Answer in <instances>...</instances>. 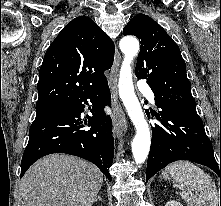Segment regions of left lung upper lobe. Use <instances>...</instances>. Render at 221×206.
I'll return each mask as SVG.
<instances>
[{
    "instance_id": "obj_1",
    "label": "left lung upper lobe",
    "mask_w": 221,
    "mask_h": 206,
    "mask_svg": "<svg viewBox=\"0 0 221 206\" xmlns=\"http://www.w3.org/2000/svg\"><path fill=\"white\" fill-rule=\"evenodd\" d=\"M123 34L141 40L135 75L147 79L155 101L169 109L196 112L186 64L166 31L149 16L138 14L128 22Z\"/></svg>"
}]
</instances>
